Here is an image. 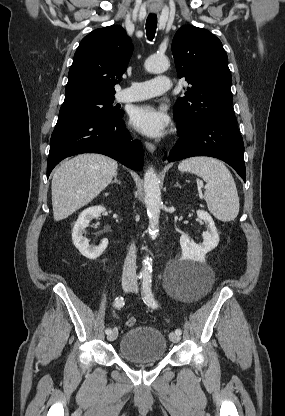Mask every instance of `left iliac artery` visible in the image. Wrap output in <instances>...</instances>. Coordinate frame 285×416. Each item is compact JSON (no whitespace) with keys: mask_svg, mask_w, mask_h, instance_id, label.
I'll list each match as a JSON object with an SVG mask.
<instances>
[{"mask_svg":"<svg viewBox=\"0 0 285 416\" xmlns=\"http://www.w3.org/2000/svg\"><path fill=\"white\" fill-rule=\"evenodd\" d=\"M151 282H152L151 276L149 274L143 275L142 288L144 292V303L148 305L149 307H152L155 309L158 307V303L154 299V295L151 289ZM175 333L178 335H181L182 331L181 329H176Z\"/></svg>","mask_w":285,"mask_h":416,"instance_id":"left-iliac-artery-1","label":"left iliac artery"}]
</instances>
